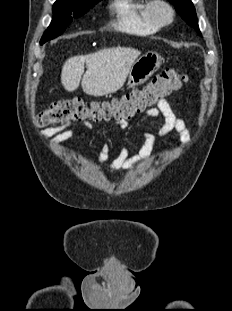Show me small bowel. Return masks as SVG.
Returning <instances> with one entry per match:
<instances>
[{
  "mask_svg": "<svg viewBox=\"0 0 232 311\" xmlns=\"http://www.w3.org/2000/svg\"><path fill=\"white\" fill-rule=\"evenodd\" d=\"M146 114L158 123L159 135L177 132L182 139L187 138L188 129L185 121L178 117L175 108L167 100H161L155 107L149 108ZM79 125L85 130H90L92 128L89 122H83ZM116 125L121 130H126L128 128V122L125 120L116 121ZM74 126L76 125L73 123H66L62 126L48 128L43 131L42 135L44 138L50 140L53 148L60 149L62 143L75 136L76 131L74 130ZM143 137L144 144L137 154L130 156L128 147L124 146L110 163L109 169L113 172L120 169H128L146 161L152 150L155 136L145 131L143 132ZM109 156V147L107 144H104L98 156L99 164H106L109 160Z\"/></svg>",
  "mask_w": 232,
  "mask_h": 311,
  "instance_id": "obj_1",
  "label": "small bowel"
}]
</instances>
